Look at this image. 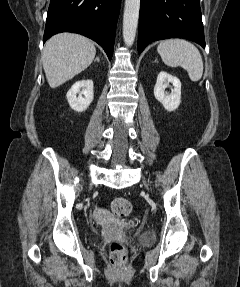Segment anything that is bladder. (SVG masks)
Listing matches in <instances>:
<instances>
[{"instance_id": "bladder-1", "label": "bladder", "mask_w": 240, "mask_h": 287, "mask_svg": "<svg viewBox=\"0 0 240 287\" xmlns=\"http://www.w3.org/2000/svg\"><path fill=\"white\" fill-rule=\"evenodd\" d=\"M140 241L143 243H150L152 241V233L148 230L140 232Z\"/></svg>"}]
</instances>
